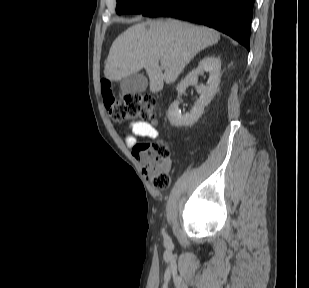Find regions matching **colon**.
<instances>
[{
	"label": "colon",
	"mask_w": 309,
	"mask_h": 288,
	"mask_svg": "<svg viewBox=\"0 0 309 288\" xmlns=\"http://www.w3.org/2000/svg\"><path fill=\"white\" fill-rule=\"evenodd\" d=\"M104 105L114 121H127L140 118L156 122L157 100L148 94L128 93L116 98L111 89V82L103 78L101 82ZM136 157L140 161L142 171L150 183L160 190L170 184L171 167L170 150L164 140L139 142L134 145Z\"/></svg>",
	"instance_id": "colon-1"
}]
</instances>
